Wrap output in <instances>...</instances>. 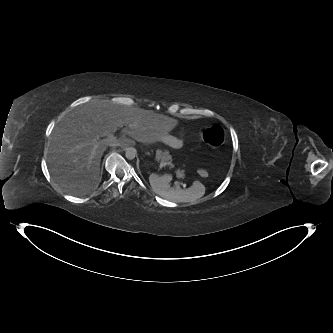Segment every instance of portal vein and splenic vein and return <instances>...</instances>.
I'll use <instances>...</instances> for the list:
<instances>
[{"mask_svg": "<svg viewBox=\"0 0 333 333\" xmlns=\"http://www.w3.org/2000/svg\"><path fill=\"white\" fill-rule=\"evenodd\" d=\"M114 139H115V137L113 135H109L108 138H107L108 141H112ZM164 165L165 164H161V166H164Z\"/></svg>", "mask_w": 333, "mask_h": 333, "instance_id": "18ae733b", "label": "portal vein and splenic vein"}]
</instances>
